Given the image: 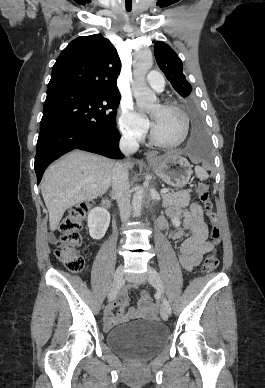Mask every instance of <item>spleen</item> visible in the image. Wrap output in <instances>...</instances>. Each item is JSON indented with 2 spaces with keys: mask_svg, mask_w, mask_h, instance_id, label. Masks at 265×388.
<instances>
[{
  "mask_svg": "<svg viewBox=\"0 0 265 388\" xmlns=\"http://www.w3.org/2000/svg\"><path fill=\"white\" fill-rule=\"evenodd\" d=\"M195 174L197 178H201V180H205V178H208L205 170H203V168H199V166H195Z\"/></svg>",
  "mask_w": 265,
  "mask_h": 388,
  "instance_id": "obj_1",
  "label": "spleen"
}]
</instances>
